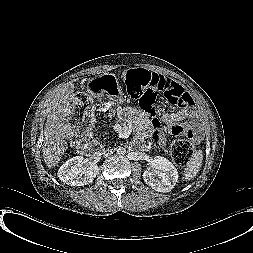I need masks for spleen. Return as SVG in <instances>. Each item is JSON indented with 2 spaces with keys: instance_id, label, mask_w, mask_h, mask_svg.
<instances>
[{
  "instance_id": "1",
  "label": "spleen",
  "mask_w": 253,
  "mask_h": 253,
  "mask_svg": "<svg viewBox=\"0 0 253 253\" xmlns=\"http://www.w3.org/2000/svg\"><path fill=\"white\" fill-rule=\"evenodd\" d=\"M203 160L202 151L194 153L193 157L188 161L187 167L184 172V179L190 180L192 179L199 171Z\"/></svg>"
}]
</instances>
